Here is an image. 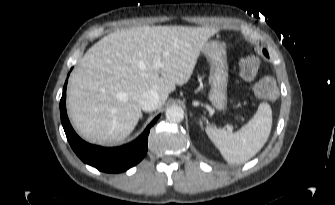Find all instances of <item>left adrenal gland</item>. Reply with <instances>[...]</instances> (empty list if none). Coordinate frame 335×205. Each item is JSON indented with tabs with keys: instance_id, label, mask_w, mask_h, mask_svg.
<instances>
[{
	"instance_id": "1",
	"label": "left adrenal gland",
	"mask_w": 335,
	"mask_h": 205,
	"mask_svg": "<svg viewBox=\"0 0 335 205\" xmlns=\"http://www.w3.org/2000/svg\"><path fill=\"white\" fill-rule=\"evenodd\" d=\"M199 122H200L201 128L203 129V123H202V120L199 119Z\"/></svg>"
}]
</instances>
